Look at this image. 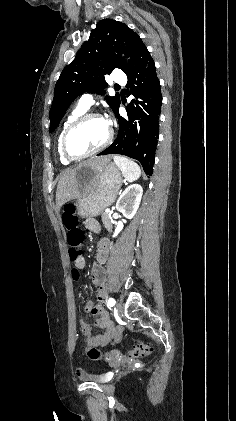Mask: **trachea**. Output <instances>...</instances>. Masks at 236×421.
Instances as JSON below:
<instances>
[{
	"label": "trachea",
	"instance_id": "trachea-1",
	"mask_svg": "<svg viewBox=\"0 0 236 421\" xmlns=\"http://www.w3.org/2000/svg\"><path fill=\"white\" fill-rule=\"evenodd\" d=\"M120 85H114L115 89H119Z\"/></svg>",
	"mask_w": 236,
	"mask_h": 421
}]
</instances>
